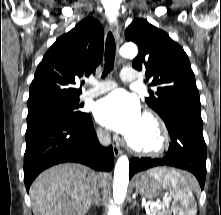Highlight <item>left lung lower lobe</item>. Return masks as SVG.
<instances>
[{
	"label": "left lung lower lobe",
	"instance_id": "obj_1",
	"mask_svg": "<svg viewBox=\"0 0 221 215\" xmlns=\"http://www.w3.org/2000/svg\"><path fill=\"white\" fill-rule=\"evenodd\" d=\"M168 129L171 144L159 158H132L129 177L136 172L156 166H173L193 173L203 189L206 178V144L203 138L201 111L185 106H171L162 118Z\"/></svg>",
	"mask_w": 221,
	"mask_h": 215
}]
</instances>
